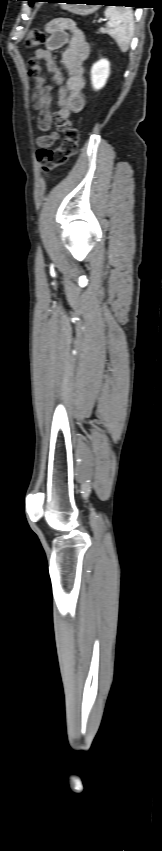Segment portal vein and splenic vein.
Wrapping results in <instances>:
<instances>
[{
    "label": "portal vein and splenic vein",
    "mask_w": 162,
    "mask_h": 851,
    "mask_svg": "<svg viewBox=\"0 0 162 851\" xmlns=\"http://www.w3.org/2000/svg\"><path fill=\"white\" fill-rule=\"evenodd\" d=\"M98 22H99V23H101V22H102V20H98Z\"/></svg>",
    "instance_id": "1"
}]
</instances>
